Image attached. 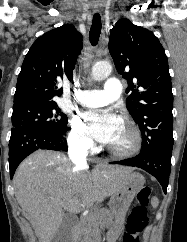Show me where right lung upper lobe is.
Masks as SVG:
<instances>
[{"label":"right lung upper lobe","instance_id":"1","mask_svg":"<svg viewBox=\"0 0 187 242\" xmlns=\"http://www.w3.org/2000/svg\"><path fill=\"white\" fill-rule=\"evenodd\" d=\"M82 49V35L63 25L40 36L25 56L18 76L14 106L55 102L62 95L59 83L72 80L75 62Z\"/></svg>","mask_w":187,"mask_h":242}]
</instances>
